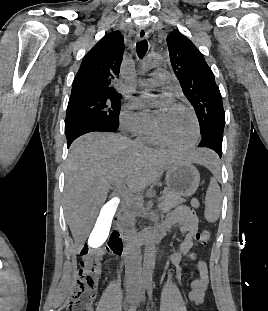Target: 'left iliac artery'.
Wrapping results in <instances>:
<instances>
[{
    "mask_svg": "<svg viewBox=\"0 0 268 311\" xmlns=\"http://www.w3.org/2000/svg\"><path fill=\"white\" fill-rule=\"evenodd\" d=\"M147 293H148L149 299L152 302V300H153V282H152V279H149L147 282Z\"/></svg>",
    "mask_w": 268,
    "mask_h": 311,
    "instance_id": "44dca946",
    "label": "left iliac artery"
}]
</instances>
